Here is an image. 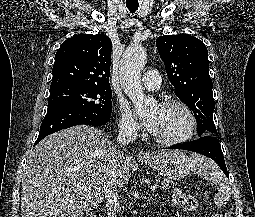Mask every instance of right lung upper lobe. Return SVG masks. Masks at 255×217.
Returning a JSON list of instances; mask_svg holds the SVG:
<instances>
[{
  "label": "right lung upper lobe",
  "instance_id": "cb5924a9",
  "mask_svg": "<svg viewBox=\"0 0 255 217\" xmlns=\"http://www.w3.org/2000/svg\"><path fill=\"white\" fill-rule=\"evenodd\" d=\"M112 43L104 34H78L62 43L55 55L51 86L82 84L110 88Z\"/></svg>",
  "mask_w": 255,
  "mask_h": 217
}]
</instances>
